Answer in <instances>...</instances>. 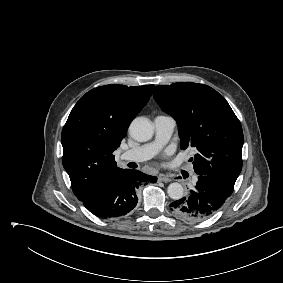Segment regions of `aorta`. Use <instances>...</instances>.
Masks as SVG:
<instances>
[{
    "mask_svg": "<svg viewBox=\"0 0 283 283\" xmlns=\"http://www.w3.org/2000/svg\"><path fill=\"white\" fill-rule=\"evenodd\" d=\"M129 132L136 141L145 142L152 138L154 129L150 120L138 117L131 122ZM167 193L171 199L179 200L183 197L184 188L180 183L174 182L168 186Z\"/></svg>",
    "mask_w": 283,
    "mask_h": 283,
    "instance_id": "aorta-1",
    "label": "aorta"
}]
</instances>
